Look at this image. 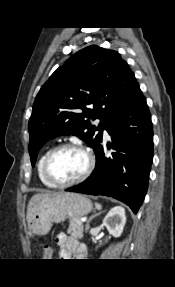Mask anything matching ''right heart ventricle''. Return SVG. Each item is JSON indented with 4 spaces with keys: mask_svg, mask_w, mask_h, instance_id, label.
I'll list each match as a JSON object with an SVG mask.
<instances>
[{
    "mask_svg": "<svg viewBox=\"0 0 175 287\" xmlns=\"http://www.w3.org/2000/svg\"><path fill=\"white\" fill-rule=\"evenodd\" d=\"M51 150V148H47L46 150H44V152L40 155L38 163H37V174H38V178L40 180V182L46 186V187H53L52 185H50L44 178L43 176V163L45 160L46 155L48 154V152Z\"/></svg>",
    "mask_w": 175,
    "mask_h": 287,
    "instance_id": "1",
    "label": "right heart ventricle"
}]
</instances>
